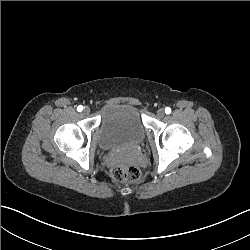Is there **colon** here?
<instances>
[{"label":"colon","instance_id":"obj_1","mask_svg":"<svg viewBox=\"0 0 250 250\" xmlns=\"http://www.w3.org/2000/svg\"><path fill=\"white\" fill-rule=\"evenodd\" d=\"M109 174L116 183L126 184L138 180L141 171L135 166L117 162L110 167Z\"/></svg>","mask_w":250,"mask_h":250}]
</instances>
